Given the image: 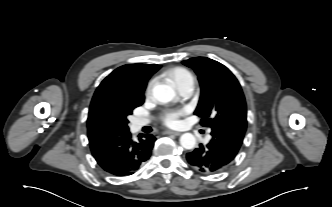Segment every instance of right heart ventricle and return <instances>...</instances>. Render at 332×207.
<instances>
[{"instance_id": "obj_1", "label": "right heart ventricle", "mask_w": 332, "mask_h": 207, "mask_svg": "<svg viewBox=\"0 0 332 207\" xmlns=\"http://www.w3.org/2000/svg\"><path fill=\"white\" fill-rule=\"evenodd\" d=\"M164 75L179 90L184 84L193 81V76L189 70L184 67H174L167 70Z\"/></svg>"}]
</instances>
